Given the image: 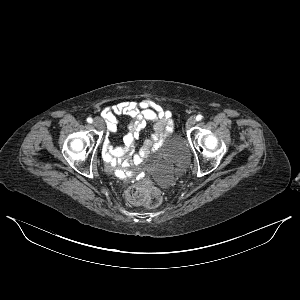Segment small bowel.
<instances>
[{"instance_id": "obj_1", "label": "small bowel", "mask_w": 300, "mask_h": 300, "mask_svg": "<svg viewBox=\"0 0 300 300\" xmlns=\"http://www.w3.org/2000/svg\"><path fill=\"white\" fill-rule=\"evenodd\" d=\"M109 133L118 129V117L121 115L133 118L128 133L123 138L121 146H114L110 140L104 144V160L106 169L110 172L117 167L126 171L130 164L141 163L151 152L157 150L164 137L172 131L171 113L151 99L141 101H122L101 111ZM153 124V132L144 141L143 146L134 153L135 142L140 133Z\"/></svg>"}]
</instances>
